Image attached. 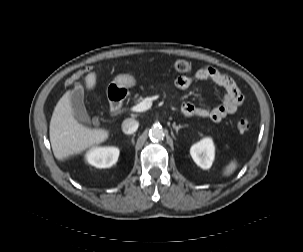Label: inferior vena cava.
I'll return each instance as SVG.
<instances>
[{
	"instance_id": "inferior-vena-cava-1",
	"label": "inferior vena cava",
	"mask_w": 303,
	"mask_h": 252,
	"mask_svg": "<svg viewBox=\"0 0 303 252\" xmlns=\"http://www.w3.org/2000/svg\"><path fill=\"white\" fill-rule=\"evenodd\" d=\"M138 126V121L132 118H127L122 123V131L125 134H133L138 129Z\"/></svg>"
}]
</instances>
